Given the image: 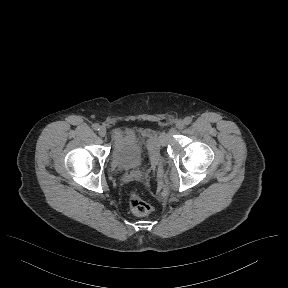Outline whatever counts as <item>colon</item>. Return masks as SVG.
Wrapping results in <instances>:
<instances>
[{"label":"colon","mask_w":288,"mask_h":288,"mask_svg":"<svg viewBox=\"0 0 288 288\" xmlns=\"http://www.w3.org/2000/svg\"><path fill=\"white\" fill-rule=\"evenodd\" d=\"M128 203L132 212L139 216L147 215L152 210L151 205L141 197L138 191L130 193Z\"/></svg>","instance_id":"colon-1"}]
</instances>
